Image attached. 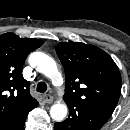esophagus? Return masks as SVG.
I'll return each instance as SVG.
<instances>
[{
  "mask_svg": "<svg viewBox=\"0 0 130 130\" xmlns=\"http://www.w3.org/2000/svg\"><path fill=\"white\" fill-rule=\"evenodd\" d=\"M44 101H45L46 103H52V102H53V96L50 95V94H46V95L44 96Z\"/></svg>",
  "mask_w": 130,
  "mask_h": 130,
  "instance_id": "obj_1",
  "label": "esophagus"
}]
</instances>
